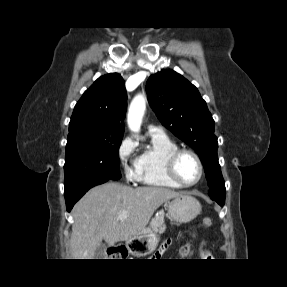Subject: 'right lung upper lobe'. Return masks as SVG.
Masks as SVG:
<instances>
[{"label": "right lung upper lobe", "mask_w": 287, "mask_h": 287, "mask_svg": "<svg viewBox=\"0 0 287 287\" xmlns=\"http://www.w3.org/2000/svg\"><path fill=\"white\" fill-rule=\"evenodd\" d=\"M126 108L123 78L118 73L101 76L77 102L69 132L87 128L98 136H123Z\"/></svg>", "instance_id": "obj_1"}]
</instances>
